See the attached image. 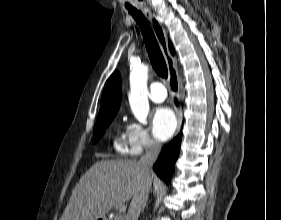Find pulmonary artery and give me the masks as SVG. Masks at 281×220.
Returning a JSON list of instances; mask_svg holds the SVG:
<instances>
[{
  "label": "pulmonary artery",
  "mask_w": 281,
  "mask_h": 220,
  "mask_svg": "<svg viewBox=\"0 0 281 220\" xmlns=\"http://www.w3.org/2000/svg\"><path fill=\"white\" fill-rule=\"evenodd\" d=\"M167 93L165 87L159 83L154 82L150 85V99L155 103H161L166 99Z\"/></svg>",
  "instance_id": "1"
}]
</instances>
